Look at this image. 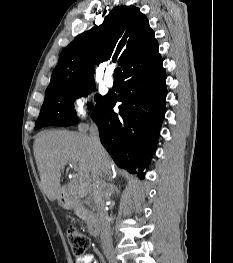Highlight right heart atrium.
<instances>
[{
	"label": "right heart atrium",
	"instance_id": "obj_1",
	"mask_svg": "<svg viewBox=\"0 0 233 263\" xmlns=\"http://www.w3.org/2000/svg\"><path fill=\"white\" fill-rule=\"evenodd\" d=\"M93 101V94L88 89H83L75 94L72 102V112L76 118H84L88 106Z\"/></svg>",
	"mask_w": 233,
	"mask_h": 263
}]
</instances>
